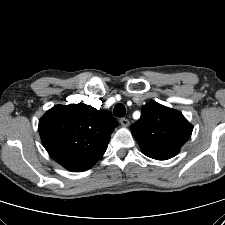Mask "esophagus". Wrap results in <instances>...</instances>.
Segmentation results:
<instances>
[{
	"label": "esophagus",
	"instance_id": "34e87169",
	"mask_svg": "<svg viewBox=\"0 0 225 225\" xmlns=\"http://www.w3.org/2000/svg\"><path fill=\"white\" fill-rule=\"evenodd\" d=\"M120 123L124 127H128L130 125V121L128 119H126V118H121L120 119Z\"/></svg>",
	"mask_w": 225,
	"mask_h": 225
}]
</instances>
